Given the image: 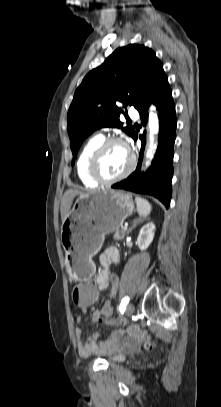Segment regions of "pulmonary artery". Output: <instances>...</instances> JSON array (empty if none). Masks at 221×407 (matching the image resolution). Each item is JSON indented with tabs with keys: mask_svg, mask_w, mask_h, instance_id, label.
Returning a JSON list of instances; mask_svg holds the SVG:
<instances>
[{
	"mask_svg": "<svg viewBox=\"0 0 221 407\" xmlns=\"http://www.w3.org/2000/svg\"><path fill=\"white\" fill-rule=\"evenodd\" d=\"M130 117L137 119L139 117L138 112L135 109H131L129 112Z\"/></svg>",
	"mask_w": 221,
	"mask_h": 407,
	"instance_id": "pulmonary-artery-1",
	"label": "pulmonary artery"
}]
</instances>
